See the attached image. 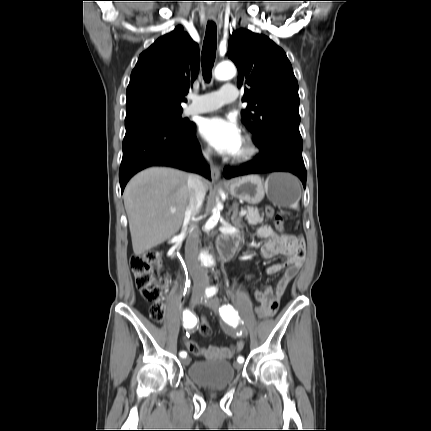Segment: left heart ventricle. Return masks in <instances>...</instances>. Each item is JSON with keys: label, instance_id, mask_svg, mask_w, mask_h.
<instances>
[{"label": "left heart ventricle", "instance_id": "obj_1", "mask_svg": "<svg viewBox=\"0 0 431 431\" xmlns=\"http://www.w3.org/2000/svg\"><path fill=\"white\" fill-rule=\"evenodd\" d=\"M242 150H243V143H242L240 149L238 150V152L236 154L240 153Z\"/></svg>", "mask_w": 431, "mask_h": 431}]
</instances>
